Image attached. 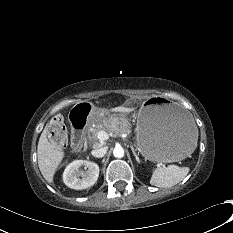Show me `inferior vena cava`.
Returning <instances> with one entry per match:
<instances>
[{
	"label": "inferior vena cava",
	"instance_id": "obj_1",
	"mask_svg": "<svg viewBox=\"0 0 233 233\" xmlns=\"http://www.w3.org/2000/svg\"><path fill=\"white\" fill-rule=\"evenodd\" d=\"M107 150H108L107 147H101V148L92 150L91 153L94 157L101 158L106 154Z\"/></svg>",
	"mask_w": 233,
	"mask_h": 233
}]
</instances>
